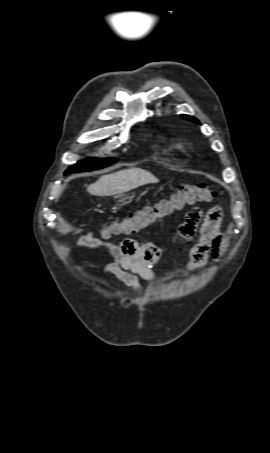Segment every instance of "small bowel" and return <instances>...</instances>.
<instances>
[{
  "label": "small bowel",
  "mask_w": 270,
  "mask_h": 453,
  "mask_svg": "<svg viewBox=\"0 0 270 453\" xmlns=\"http://www.w3.org/2000/svg\"><path fill=\"white\" fill-rule=\"evenodd\" d=\"M223 211L214 206L207 211L193 208L189 211L184 222L178 227L176 240L181 244L191 242L199 233L198 242L190 250L188 269L200 270L207 262L210 251L218 258L223 243L221 223ZM76 247H88L107 252L112 261L102 267L103 273L118 276L137 295L142 294L141 281L153 282L156 279L154 266L162 259L164 249L152 243L139 244L133 239H123L113 244L105 239L85 234L79 237ZM91 268L96 265L85 262Z\"/></svg>",
  "instance_id": "c3829d8e"
}]
</instances>
